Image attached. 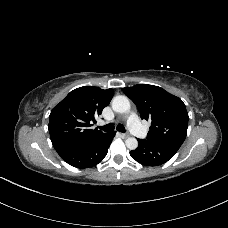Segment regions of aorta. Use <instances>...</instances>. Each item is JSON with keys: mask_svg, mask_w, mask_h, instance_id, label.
I'll return each instance as SVG.
<instances>
[{"mask_svg": "<svg viewBox=\"0 0 228 228\" xmlns=\"http://www.w3.org/2000/svg\"><path fill=\"white\" fill-rule=\"evenodd\" d=\"M112 109L117 113H126L130 110V102L126 96H116L112 100ZM126 147L135 150L138 147V141L134 137H129L125 141Z\"/></svg>", "mask_w": 228, "mask_h": 228, "instance_id": "aorta-1", "label": "aorta"}]
</instances>
